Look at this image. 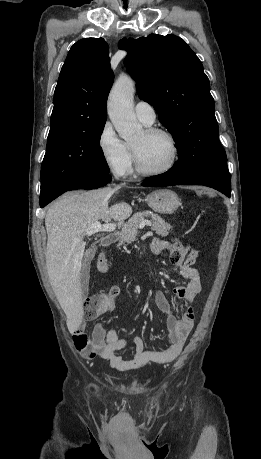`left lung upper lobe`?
Returning <instances> with one entry per match:
<instances>
[{
  "label": "left lung upper lobe",
  "mask_w": 261,
  "mask_h": 459,
  "mask_svg": "<svg viewBox=\"0 0 261 459\" xmlns=\"http://www.w3.org/2000/svg\"><path fill=\"white\" fill-rule=\"evenodd\" d=\"M127 49L124 63L139 98L154 106L176 142L180 156L172 168L187 174L226 162L209 80L190 47L177 36L151 34L130 40Z\"/></svg>",
  "instance_id": "5c2ea615"
}]
</instances>
